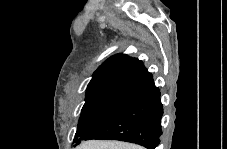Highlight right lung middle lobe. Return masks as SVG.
I'll use <instances>...</instances> for the list:
<instances>
[{"instance_id": "dd1d6c3e", "label": "right lung middle lobe", "mask_w": 227, "mask_h": 149, "mask_svg": "<svg viewBox=\"0 0 227 149\" xmlns=\"http://www.w3.org/2000/svg\"><path fill=\"white\" fill-rule=\"evenodd\" d=\"M138 89L109 86L86 94L73 143L75 146L102 124L110 121L133 98Z\"/></svg>"}]
</instances>
